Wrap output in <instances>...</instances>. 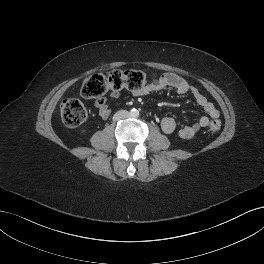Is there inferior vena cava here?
<instances>
[{"label": "inferior vena cava", "mask_w": 264, "mask_h": 264, "mask_svg": "<svg viewBox=\"0 0 264 264\" xmlns=\"http://www.w3.org/2000/svg\"><path fill=\"white\" fill-rule=\"evenodd\" d=\"M129 116V113L127 110H120L118 112H116L113 116V120L114 121H118V120H121V119H125Z\"/></svg>", "instance_id": "602c4592"}]
</instances>
